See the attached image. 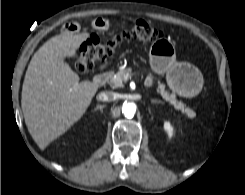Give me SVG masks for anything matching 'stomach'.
Wrapping results in <instances>:
<instances>
[{"label":"stomach","instance_id":"obj_1","mask_svg":"<svg viewBox=\"0 0 245 195\" xmlns=\"http://www.w3.org/2000/svg\"><path fill=\"white\" fill-rule=\"evenodd\" d=\"M150 65L158 74H166L173 92L183 97L196 96L203 87L201 72L193 65L176 61L174 45L166 39L153 42L150 47Z\"/></svg>","mask_w":245,"mask_h":195}]
</instances>
